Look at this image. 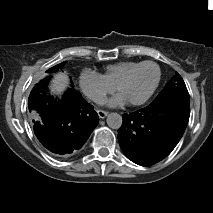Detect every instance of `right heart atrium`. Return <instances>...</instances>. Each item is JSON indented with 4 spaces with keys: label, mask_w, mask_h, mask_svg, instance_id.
Listing matches in <instances>:
<instances>
[{
    "label": "right heart atrium",
    "mask_w": 213,
    "mask_h": 213,
    "mask_svg": "<svg viewBox=\"0 0 213 213\" xmlns=\"http://www.w3.org/2000/svg\"><path fill=\"white\" fill-rule=\"evenodd\" d=\"M79 85L83 93L95 103H103L106 97L114 91L100 74L84 70L79 76Z\"/></svg>",
    "instance_id": "obj_1"
}]
</instances>
